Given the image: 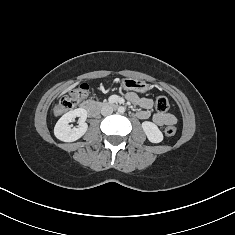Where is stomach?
I'll return each mask as SVG.
<instances>
[{"label":"stomach","mask_w":235,"mask_h":235,"mask_svg":"<svg viewBox=\"0 0 235 235\" xmlns=\"http://www.w3.org/2000/svg\"><path fill=\"white\" fill-rule=\"evenodd\" d=\"M121 85L125 90H133L138 93H145L149 90V85L145 81L134 78L122 79Z\"/></svg>","instance_id":"0dacf381"}]
</instances>
